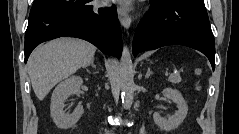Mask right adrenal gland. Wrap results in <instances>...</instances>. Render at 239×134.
Segmentation results:
<instances>
[{"label": "right adrenal gland", "mask_w": 239, "mask_h": 134, "mask_svg": "<svg viewBox=\"0 0 239 134\" xmlns=\"http://www.w3.org/2000/svg\"><path fill=\"white\" fill-rule=\"evenodd\" d=\"M89 65H91L93 68L96 69V65L94 64V60H92L91 63H90Z\"/></svg>", "instance_id": "obj_1"}]
</instances>
